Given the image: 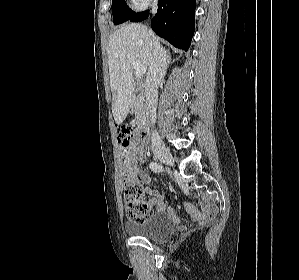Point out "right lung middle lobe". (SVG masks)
<instances>
[{
	"mask_svg": "<svg viewBox=\"0 0 299 280\" xmlns=\"http://www.w3.org/2000/svg\"><path fill=\"white\" fill-rule=\"evenodd\" d=\"M113 22L115 25L128 21L134 14L126 4L125 0L112 1Z\"/></svg>",
	"mask_w": 299,
	"mask_h": 280,
	"instance_id": "dd1d6c3e",
	"label": "right lung middle lobe"
}]
</instances>
